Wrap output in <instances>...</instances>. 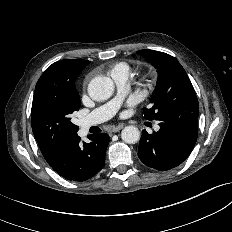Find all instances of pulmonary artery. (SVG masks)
I'll return each instance as SVG.
<instances>
[{
    "label": "pulmonary artery",
    "mask_w": 232,
    "mask_h": 232,
    "mask_svg": "<svg viewBox=\"0 0 232 232\" xmlns=\"http://www.w3.org/2000/svg\"><path fill=\"white\" fill-rule=\"evenodd\" d=\"M130 74L126 72H121L112 75L118 87V96L112 101L106 103L93 110L89 115L81 120V126L83 130H87L93 125L100 124L108 119H110L118 110L122 96L126 92V84L128 82Z\"/></svg>",
    "instance_id": "e3ab8cb5"
}]
</instances>
